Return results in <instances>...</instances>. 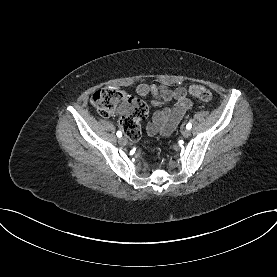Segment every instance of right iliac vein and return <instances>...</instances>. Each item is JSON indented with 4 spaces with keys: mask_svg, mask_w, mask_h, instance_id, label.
I'll use <instances>...</instances> for the list:
<instances>
[{
    "mask_svg": "<svg viewBox=\"0 0 277 277\" xmlns=\"http://www.w3.org/2000/svg\"><path fill=\"white\" fill-rule=\"evenodd\" d=\"M118 142H119V144L122 145V146H126V145L128 144V140H127V138L124 137V136L121 137V138H119Z\"/></svg>",
    "mask_w": 277,
    "mask_h": 277,
    "instance_id": "63e3f726",
    "label": "right iliac vein"
}]
</instances>
